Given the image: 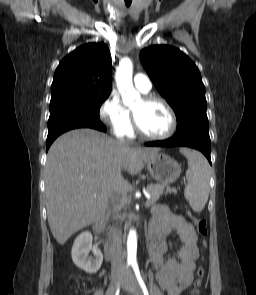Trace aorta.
<instances>
[{"mask_svg": "<svg viewBox=\"0 0 256 295\" xmlns=\"http://www.w3.org/2000/svg\"><path fill=\"white\" fill-rule=\"evenodd\" d=\"M133 64L128 58L121 60L116 71V84L121 94L123 104L132 106L141 101L140 93L135 90L132 82ZM137 255V234L136 230L131 229L127 238V260L129 263L136 261Z\"/></svg>", "mask_w": 256, "mask_h": 295, "instance_id": "1", "label": "aorta"}]
</instances>
